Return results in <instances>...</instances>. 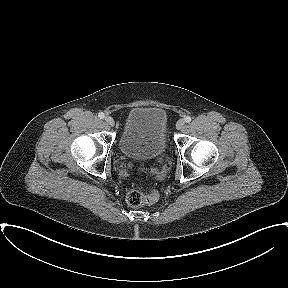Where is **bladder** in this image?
<instances>
[{
    "label": "bladder",
    "instance_id": "bladder-1",
    "mask_svg": "<svg viewBox=\"0 0 288 288\" xmlns=\"http://www.w3.org/2000/svg\"><path fill=\"white\" fill-rule=\"evenodd\" d=\"M121 152L132 158H152L168 148L167 115L162 108H133L119 138Z\"/></svg>",
    "mask_w": 288,
    "mask_h": 288
}]
</instances>
